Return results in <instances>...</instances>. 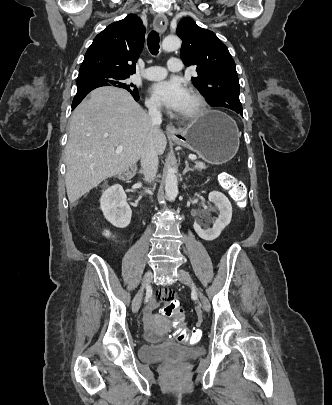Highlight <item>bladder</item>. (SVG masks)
Wrapping results in <instances>:
<instances>
[{"label":"bladder","mask_w":332,"mask_h":405,"mask_svg":"<svg viewBox=\"0 0 332 405\" xmlns=\"http://www.w3.org/2000/svg\"><path fill=\"white\" fill-rule=\"evenodd\" d=\"M147 344L139 350V358L143 362H164L170 360H189L201 355L198 346H184L162 342L160 336L152 333L145 335Z\"/></svg>","instance_id":"obj_1"}]
</instances>
